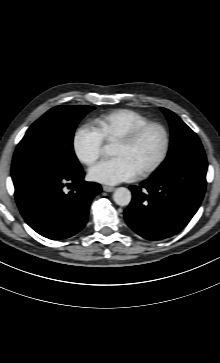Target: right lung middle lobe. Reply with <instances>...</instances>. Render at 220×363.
<instances>
[{
	"label": "right lung middle lobe",
	"mask_w": 220,
	"mask_h": 363,
	"mask_svg": "<svg viewBox=\"0 0 220 363\" xmlns=\"http://www.w3.org/2000/svg\"><path fill=\"white\" fill-rule=\"evenodd\" d=\"M93 109L83 105L56 106L34 122L16 148L11 169L13 182L82 170L73 151L74 130Z\"/></svg>",
	"instance_id": "dd1d6c3e"
}]
</instances>
